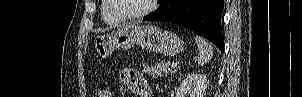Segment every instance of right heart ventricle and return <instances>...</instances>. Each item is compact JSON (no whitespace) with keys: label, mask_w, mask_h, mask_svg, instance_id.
Masks as SVG:
<instances>
[{"label":"right heart ventricle","mask_w":302,"mask_h":97,"mask_svg":"<svg viewBox=\"0 0 302 97\" xmlns=\"http://www.w3.org/2000/svg\"><path fill=\"white\" fill-rule=\"evenodd\" d=\"M102 8H101V19L105 25L117 27L122 24V20L118 19L111 12L109 3L107 0H102Z\"/></svg>","instance_id":"obj_1"}]
</instances>
